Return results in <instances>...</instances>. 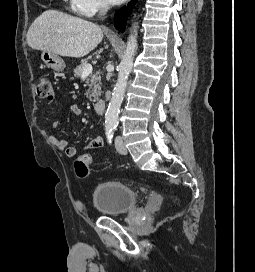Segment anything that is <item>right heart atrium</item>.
<instances>
[{
	"instance_id": "1",
	"label": "right heart atrium",
	"mask_w": 255,
	"mask_h": 272,
	"mask_svg": "<svg viewBox=\"0 0 255 272\" xmlns=\"http://www.w3.org/2000/svg\"><path fill=\"white\" fill-rule=\"evenodd\" d=\"M70 9L81 16L91 17L107 8L105 0H70Z\"/></svg>"
}]
</instances>
